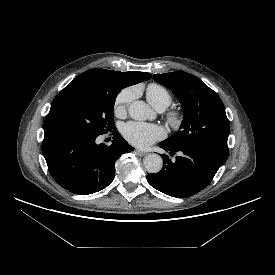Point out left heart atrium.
Instances as JSON below:
<instances>
[{
    "mask_svg": "<svg viewBox=\"0 0 275 275\" xmlns=\"http://www.w3.org/2000/svg\"><path fill=\"white\" fill-rule=\"evenodd\" d=\"M122 133L129 143L138 148H146L165 136L162 127L144 122H129L123 127Z\"/></svg>",
    "mask_w": 275,
    "mask_h": 275,
    "instance_id": "1",
    "label": "left heart atrium"
}]
</instances>
